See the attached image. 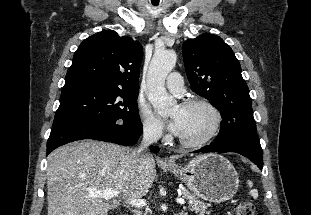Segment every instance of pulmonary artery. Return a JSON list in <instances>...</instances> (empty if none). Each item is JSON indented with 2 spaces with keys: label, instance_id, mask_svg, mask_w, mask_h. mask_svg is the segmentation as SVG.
Segmentation results:
<instances>
[{
  "label": "pulmonary artery",
  "instance_id": "e3ab8cb5",
  "mask_svg": "<svg viewBox=\"0 0 311 215\" xmlns=\"http://www.w3.org/2000/svg\"><path fill=\"white\" fill-rule=\"evenodd\" d=\"M166 86L171 92L181 95L184 92L183 77L178 72L170 73L166 79Z\"/></svg>",
  "mask_w": 311,
  "mask_h": 215
}]
</instances>
